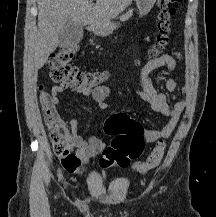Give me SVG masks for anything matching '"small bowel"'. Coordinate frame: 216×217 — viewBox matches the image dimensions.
I'll use <instances>...</instances> for the list:
<instances>
[{"label":"small bowel","instance_id":"small-bowel-1","mask_svg":"<svg viewBox=\"0 0 216 217\" xmlns=\"http://www.w3.org/2000/svg\"><path fill=\"white\" fill-rule=\"evenodd\" d=\"M182 60V55L178 51L166 53L160 57L148 62L140 75V88L137 94L146 102L150 103L153 110L165 115L168 118L167 123L161 129L144 130V139L147 142L163 141L167 139L174 131L179 121L180 115L185 108V102L177 100V83L174 78L168 77L165 80V87L174 104L170 106L169 97L166 93L159 92L153 85V80L157 76H169L176 67V62ZM65 91L62 85H56L52 88L50 96L53 106L59 105V96ZM110 89L105 86H99L94 89H77L76 93L91 98L99 108L107 107L106 98L110 94ZM68 139L74 149L80 165H88L92 159L99 155L106 147L105 142L96 137H82L78 132V121L71 119L69 122Z\"/></svg>","mask_w":216,"mask_h":217}]
</instances>
